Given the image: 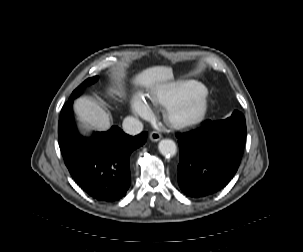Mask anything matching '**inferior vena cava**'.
<instances>
[{
  "label": "inferior vena cava",
  "instance_id": "inferior-vena-cava-1",
  "mask_svg": "<svg viewBox=\"0 0 303 252\" xmlns=\"http://www.w3.org/2000/svg\"><path fill=\"white\" fill-rule=\"evenodd\" d=\"M123 130L127 134L130 135H137L142 132L143 130V124L140 120L134 118V117H126L123 120Z\"/></svg>",
  "mask_w": 303,
  "mask_h": 252
}]
</instances>
